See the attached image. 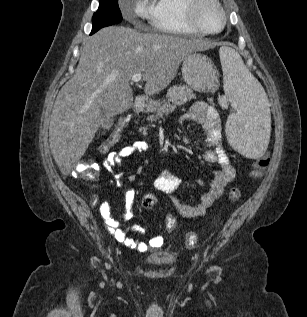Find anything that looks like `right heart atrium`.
Masks as SVG:
<instances>
[{
  "mask_svg": "<svg viewBox=\"0 0 307 317\" xmlns=\"http://www.w3.org/2000/svg\"><path fill=\"white\" fill-rule=\"evenodd\" d=\"M154 12L152 0H135L130 10V14L144 19H151ZM129 16V14H127Z\"/></svg>",
  "mask_w": 307,
  "mask_h": 317,
  "instance_id": "d8ad5b80",
  "label": "right heart atrium"
}]
</instances>
